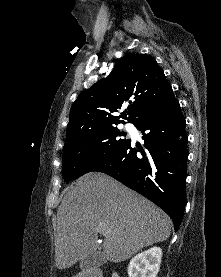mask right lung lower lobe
I'll return each instance as SVG.
<instances>
[{"label":"right lung lower lobe","instance_id":"obj_1","mask_svg":"<svg viewBox=\"0 0 221 277\" xmlns=\"http://www.w3.org/2000/svg\"><path fill=\"white\" fill-rule=\"evenodd\" d=\"M133 124L142 132L146 150L129 140L92 171L106 173L154 202L171 217L177 231L186 202L188 138L172 89Z\"/></svg>","mask_w":221,"mask_h":277}]
</instances>
